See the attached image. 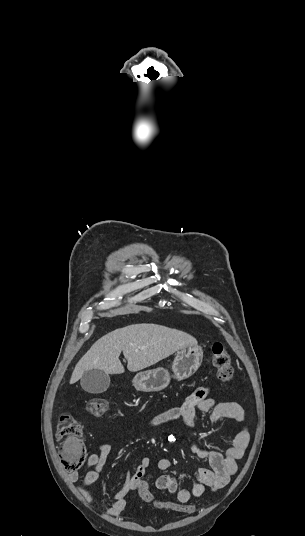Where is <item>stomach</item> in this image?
Instances as JSON below:
<instances>
[{
	"instance_id": "1",
	"label": "stomach",
	"mask_w": 305,
	"mask_h": 536,
	"mask_svg": "<svg viewBox=\"0 0 305 536\" xmlns=\"http://www.w3.org/2000/svg\"><path fill=\"white\" fill-rule=\"evenodd\" d=\"M203 360V350L201 346H188L181 352H177L173 362L172 372L176 380H186L193 376L200 368ZM170 384V374L164 368L139 372L133 378V386L139 392H160Z\"/></svg>"
}]
</instances>
